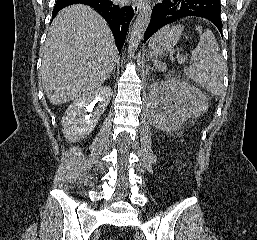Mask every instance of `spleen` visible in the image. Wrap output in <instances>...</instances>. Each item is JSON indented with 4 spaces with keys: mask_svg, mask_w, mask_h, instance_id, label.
I'll return each mask as SVG.
<instances>
[{
    "mask_svg": "<svg viewBox=\"0 0 257 240\" xmlns=\"http://www.w3.org/2000/svg\"><path fill=\"white\" fill-rule=\"evenodd\" d=\"M183 29V25L166 26L152 37L151 42L157 46L156 53H151V56L155 58L154 66L159 71H166L167 66L159 61L157 56L163 51H172ZM195 30L200 34V41L191 52L194 63L189 68H185L184 73L209 93L219 95L224 90L223 79L227 70L224 59L220 55L219 45L210 30L203 32L201 26H195Z\"/></svg>",
    "mask_w": 257,
    "mask_h": 240,
    "instance_id": "spleen-1",
    "label": "spleen"
}]
</instances>
